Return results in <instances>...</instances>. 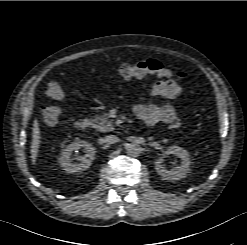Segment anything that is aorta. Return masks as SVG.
I'll return each instance as SVG.
<instances>
[{"mask_svg": "<svg viewBox=\"0 0 247 245\" xmlns=\"http://www.w3.org/2000/svg\"><path fill=\"white\" fill-rule=\"evenodd\" d=\"M142 151L141 146L138 143H130L126 147V152L131 157H137Z\"/></svg>", "mask_w": 247, "mask_h": 245, "instance_id": "762f6f07", "label": "aorta"}]
</instances>
